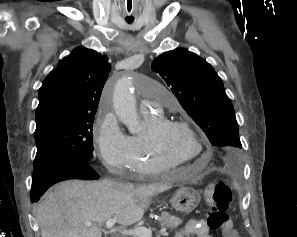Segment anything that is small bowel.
Segmentation results:
<instances>
[{
    "mask_svg": "<svg viewBox=\"0 0 297 237\" xmlns=\"http://www.w3.org/2000/svg\"><path fill=\"white\" fill-rule=\"evenodd\" d=\"M194 235L196 237H212L204 220L192 219L186 226L177 234V237H186Z\"/></svg>",
    "mask_w": 297,
    "mask_h": 237,
    "instance_id": "1",
    "label": "small bowel"
}]
</instances>
